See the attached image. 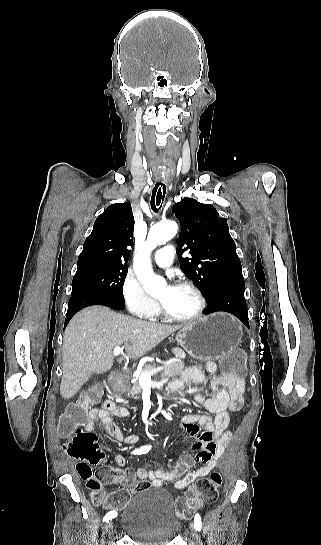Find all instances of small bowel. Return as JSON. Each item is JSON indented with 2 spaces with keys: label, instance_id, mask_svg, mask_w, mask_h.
<instances>
[{
  "label": "small bowel",
  "instance_id": "obj_1",
  "mask_svg": "<svg viewBox=\"0 0 321 545\" xmlns=\"http://www.w3.org/2000/svg\"><path fill=\"white\" fill-rule=\"evenodd\" d=\"M218 366L213 361H208L204 365L194 364L185 369L180 379L172 384L176 389H184L193 384L204 382L206 374H216ZM210 387L215 391V395L209 398L204 397L198 390L193 389L194 401L204 407L211 417L207 414H188L183 418V432L185 438H192V449L197 451L195 458L188 454H183L175 468L170 472L162 470H148L138 468L135 475L140 479H149L152 486L163 488L167 482H173V488L184 489L195 480L208 475L217 465L222 457L225 448L232 437L229 429V412L239 411L243 404V395L245 384L242 378H234L227 374L213 376ZM129 410L122 406H117L115 401L108 399L102 406L94 408L89 412L88 419L84 425L87 432L94 430L95 425L101 426L105 432L115 437L119 442L128 445H134L139 438L136 435H125L120 428L112 421V417H127ZM114 459L117 467H111L105 464V454L102 452L101 458L97 460H82L77 463V471L82 477L83 474L94 475L92 466H100L98 472L101 473L103 482L125 483L127 479L134 475L133 472L125 468V459L120 454H115ZM199 462L201 466L190 471V468Z\"/></svg>",
  "mask_w": 321,
  "mask_h": 545
}]
</instances>
